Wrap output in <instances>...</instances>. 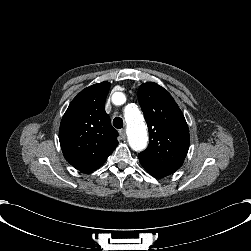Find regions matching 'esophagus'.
Listing matches in <instances>:
<instances>
[{
	"instance_id": "1",
	"label": "esophagus",
	"mask_w": 251,
	"mask_h": 251,
	"mask_svg": "<svg viewBox=\"0 0 251 251\" xmlns=\"http://www.w3.org/2000/svg\"><path fill=\"white\" fill-rule=\"evenodd\" d=\"M119 133H120V136L122 139H126V130L125 129L120 130Z\"/></svg>"
}]
</instances>
